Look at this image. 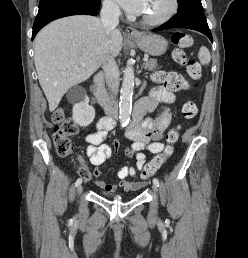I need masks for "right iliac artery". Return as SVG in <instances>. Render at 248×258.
I'll list each match as a JSON object with an SVG mask.
<instances>
[{
    "instance_id": "obj_1",
    "label": "right iliac artery",
    "mask_w": 248,
    "mask_h": 258,
    "mask_svg": "<svg viewBox=\"0 0 248 258\" xmlns=\"http://www.w3.org/2000/svg\"><path fill=\"white\" fill-rule=\"evenodd\" d=\"M82 183V179L81 178H78L75 182V186H78Z\"/></svg>"
}]
</instances>
